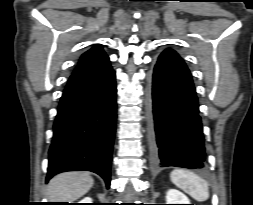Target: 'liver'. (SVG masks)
I'll list each match as a JSON object with an SVG mask.
<instances>
[{
	"mask_svg": "<svg viewBox=\"0 0 253 205\" xmlns=\"http://www.w3.org/2000/svg\"><path fill=\"white\" fill-rule=\"evenodd\" d=\"M94 180L88 172H65L52 178L47 186V196L51 202H69L85 195Z\"/></svg>",
	"mask_w": 253,
	"mask_h": 205,
	"instance_id": "obj_1",
	"label": "liver"
}]
</instances>
